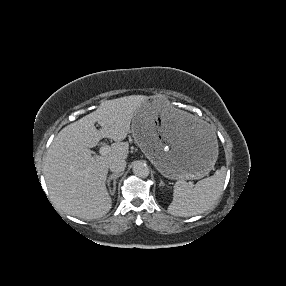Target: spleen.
Listing matches in <instances>:
<instances>
[{"label":"spleen","instance_id":"1","mask_svg":"<svg viewBox=\"0 0 286 286\" xmlns=\"http://www.w3.org/2000/svg\"><path fill=\"white\" fill-rule=\"evenodd\" d=\"M225 175V169L221 168L213 176L198 181L194 187L184 180H178L174 185L169 213L188 217L207 211L219 198Z\"/></svg>","mask_w":286,"mask_h":286}]
</instances>
